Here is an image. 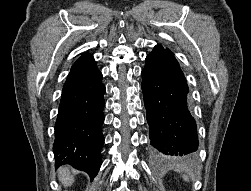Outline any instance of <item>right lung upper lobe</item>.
Segmentation results:
<instances>
[{
  "label": "right lung upper lobe",
  "instance_id": "obj_1",
  "mask_svg": "<svg viewBox=\"0 0 251 191\" xmlns=\"http://www.w3.org/2000/svg\"><path fill=\"white\" fill-rule=\"evenodd\" d=\"M99 72L93 56L89 53H84L73 64L64 87L86 80Z\"/></svg>",
  "mask_w": 251,
  "mask_h": 191
}]
</instances>
